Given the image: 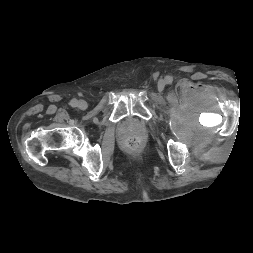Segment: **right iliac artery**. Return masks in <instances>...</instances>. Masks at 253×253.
I'll return each mask as SVG.
<instances>
[{
    "mask_svg": "<svg viewBox=\"0 0 253 253\" xmlns=\"http://www.w3.org/2000/svg\"><path fill=\"white\" fill-rule=\"evenodd\" d=\"M70 105L72 106V107H77L78 106V101H77V99H72L71 101H70Z\"/></svg>",
    "mask_w": 253,
    "mask_h": 253,
    "instance_id": "right-iliac-artery-1",
    "label": "right iliac artery"
}]
</instances>
